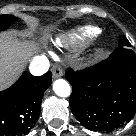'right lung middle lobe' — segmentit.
<instances>
[{"label": "right lung middle lobe", "mask_w": 136, "mask_h": 136, "mask_svg": "<svg viewBox=\"0 0 136 136\" xmlns=\"http://www.w3.org/2000/svg\"><path fill=\"white\" fill-rule=\"evenodd\" d=\"M16 17L13 15H1L0 16V31L5 30L13 22H15Z\"/></svg>", "instance_id": "obj_1"}]
</instances>
